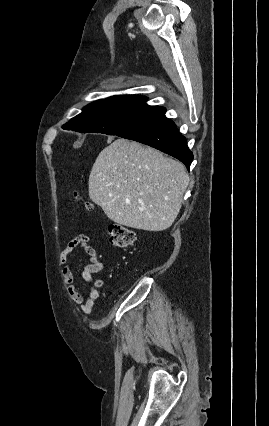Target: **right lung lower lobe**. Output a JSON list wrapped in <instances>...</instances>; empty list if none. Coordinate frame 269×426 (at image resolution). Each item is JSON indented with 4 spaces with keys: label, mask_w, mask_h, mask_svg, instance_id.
<instances>
[{
    "label": "right lung lower lobe",
    "mask_w": 269,
    "mask_h": 426,
    "mask_svg": "<svg viewBox=\"0 0 269 426\" xmlns=\"http://www.w3.org/2000/svg\"><path fill=\"white\" fill-rule=\"evenodd\" d=\"M165 112V108L155 107L141 123L117 136L138 141L167 153L183 162L189 170L193 154L187 146L185 137L179 133L176 125L166 118ZM63 128L67 129L65 125Z\"/></svg>",
    "instance_id": "obj_1"
}]
</instances>
